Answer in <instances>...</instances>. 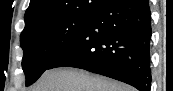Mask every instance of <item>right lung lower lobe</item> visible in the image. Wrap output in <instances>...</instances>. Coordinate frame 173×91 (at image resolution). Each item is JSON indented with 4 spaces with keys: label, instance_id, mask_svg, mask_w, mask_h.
Here are the masks:
<instances>
[{
    "label": "right lung lower lobe",
    "instance_id": "obj_1",
    "mask_svg": "<svg viewBox=\"0 0 173 91\" xmlns=\"http://www.w3.org/2000/svg\"><path fill=\"white\" fill-rule=\"evenodd\" d=\"M150 40L148 0H104L84 31L47 69L81 68L149 91Z\"/></svg>",
    "mask_w": 173,
    "mask_h": 91
}]
</instances>
